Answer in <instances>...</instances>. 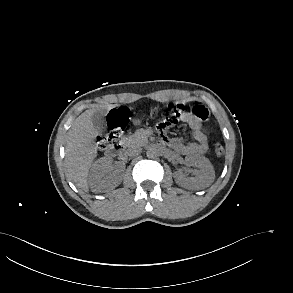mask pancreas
Wrapping results in <instances>:
<instances>
[{
	"instance_id": "obj_1",
	"label": "pancreas",
	"mask_w": 293,
	"mask_h": 293,
	"mask_svg": "<svg viewBox=\"0 0 293 293\" xmlns=\"http://www.w3.org/2000/svg\"><path fill=\"white\" fill-rule=\"evenodd\" d=\"M124 143L129 146L140 147L145 146L148 143L147 130L138 129L133 135L125 138Z\"/></svg>"
}]
</instances>
